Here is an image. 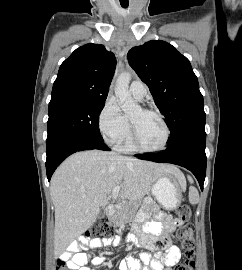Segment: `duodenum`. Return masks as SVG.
<instances>
[{
  "label": "duodenum",
  "instance_id": "410a0bca",
  "mask_svg": "<svg viewBox=\"0 0 242 270\" xmlns=\"http://www.w3.org/2000/svg\"><path fill=\"white\" fill-rule=\"evenodd\" d=\"M113 214H114V208H113L112 206H109V207L107 208L106 215H107L108 217H112Z\"/></svg>",
  "mask_w": 242,
  "mask_h": 270
}]
</instances>
